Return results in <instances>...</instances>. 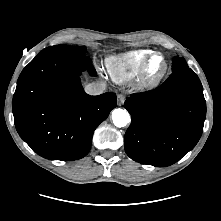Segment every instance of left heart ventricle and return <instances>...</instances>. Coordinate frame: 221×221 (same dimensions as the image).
Returning <instances> with one entry per match:
<instances>
[{
	"label": "left heart ventricle",
	"instance_id": "b2bd125f",
	"mask_svg": "<svg viewBox=\"0 0 221 221\" xmlns=\"http://www.w3.org/2000/svg\"><path fill=\"white\" fill-rule=\"evenodd\" d=\"M162 65H163L162 58L159 56H156L152 59L151 70L158 71L161 69Z\"/></svg>",
	"mask_w": 221,
	"mask_h": 221
}]
</instances>
